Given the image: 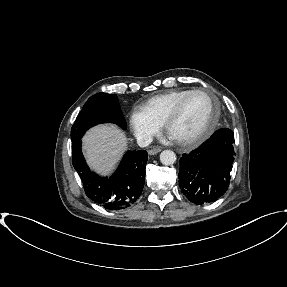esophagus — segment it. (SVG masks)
I'll list each match as a JSON object with an SVG mask.
<instances>
[{
  "label": "esophagus",
  "instance_id": "obj_1",
  "mask_svg": "<svg viewBox=\"0 0 287 287\" xmlns=\"http://www.w3.org/2000/svg\"><path fill=\"white\" fill-rule=\"evenodd\" d=\"M161 150H162V149H161L160 147H155V148L150 149V150L148 151V153H149L150 155H155V154L159 153Z\"/></svg>",
  "mask_w": 287,
  "mask_h": 287
}]
</instances>
